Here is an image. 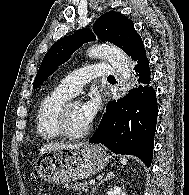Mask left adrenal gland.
<instances>
[{"label":"left adrenal gland","instance_id":"left-adrenal-gland-1","mask_svg":"<svg viewBox=\"0 0 189 195\" xmlns=\"http://www.w3.org/2000/svg\"><path fill=\"white\" fill-rule=\"evenodd\" d=\"M112 178H114V173H113V172H108V173L106 174V176H105L102 180H100L99 183L92 189V192H91L90 195H93V194L95 193L96 189H97L101 184H103V183H104L105 181H107V180H111Z\"/></svg>","mask_w":189,"mask_h":195}]
</instances>
